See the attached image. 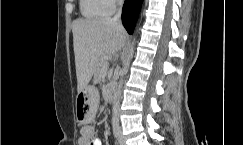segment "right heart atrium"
Segmentation results:
<instances>
[{
	"mask_svg": "<svg viewBox=\"0 0 243 145\" xmlns=\"http://www.w3.org/2000/svg\"><path fill=\"white\" fill-rule=\"evenodd\" d=\"M105 1L111 8H114L121 0H105Z\"/></svg>",
	"mask_w": 243,
	"mask_h": 145,
	"instance_id": "1",
	"label": "right heart atrium"
}]
</instances>
